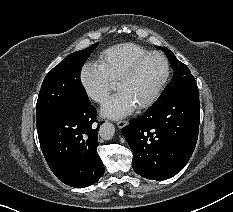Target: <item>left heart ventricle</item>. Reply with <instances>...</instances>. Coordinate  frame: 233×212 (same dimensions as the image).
Wrapping results in <instances>:
<instances>
[{
	"label": "left heart ventricle",
	"instance_id": "obj_1",
	"mask_svg": "<svg viewBox=\"0 0 233 212\" xmlns=\"http://www.w3.org/2000/svg\"><path fill=\"white\" fill-rule=\"evenodd\" d=\"M164 73L163 60L153 56L145 60L129 80L117 84L116 89L124 92L138 106L155 91Z\"/></svg>",
	"mask_w": 233,
	"mask_h": 212
}]
</instances>
